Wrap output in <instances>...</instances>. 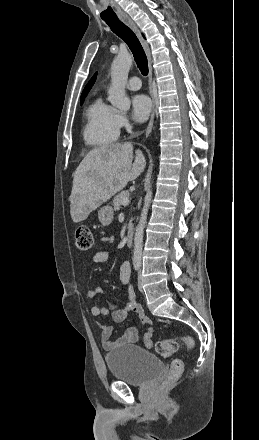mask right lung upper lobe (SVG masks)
Instances as JSON below:
<instances>
[{
  "instance_id": "1",
  "label": "right lung upper lobe",
  "mask_w": 259,
  "mask_h": 440,
  "mask_svg": "<svg viewBox=\"0 0 259 440\" xmlns=\"http://www.w3.org/2000/svg\"><path fill=\"white\" fill-rule=\"evenodd\" d=\"M95 80H96V74L91 78V80L88 82V84L84 88L82 95H81V99L86 97L87 93L89 92L90 88L94 84Z\"/></svg>"
}]
</instances>
